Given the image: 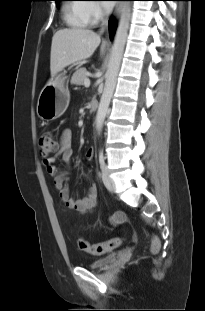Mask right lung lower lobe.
<instances>
[{
    "label": "right lung lower lobe",
    "mask_w": 205,
    "mask_h": 311,
    "mask_svg": "<svg viewBox=\"0 0 205 311\" xmlns=\"http://www.w3.org/2000/svg\"><path fill=\"white\" fill-rule=\"evenodd\" d=\"M115 27H116L115 21L113 19H111L109 21L110 35H112L114 33Z\"/></svg>",
    "instance_id": "obj_1"
}]
</instances>
